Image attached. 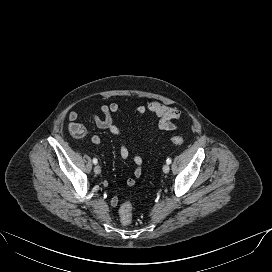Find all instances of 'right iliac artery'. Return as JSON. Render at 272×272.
Instances as JSON below:
<instances>
[{
	"label": "right iliac artery",
	"instance_id": "1",
	"mask_svg": "<svg viewBox=\"0 0 272 272\" xmlns=\"http://www.w3.org/2000/svg\"><path fill=\"white\" fill-rule=\"evenodd\" d=\"M93 163H94V164H97V163H98V161H97L96 158L93 159Z\"/></svg>",
	"mask_w": 272,
	"mask_h": 272
}]
</instances>
